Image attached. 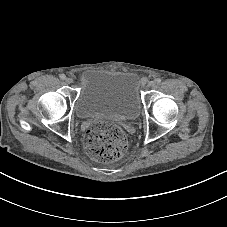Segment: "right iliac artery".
I'll use <instances>...</instances> for the list:
<instances>
[{
    "instance_id": "obj_1",
    "label": "right iliac artery",
    "mask_w": 227,
    "mask_h": 227,
    "mask_svg": "<svg viewBox=\"0 0 227 227\" xmlns=\"http://www.w3.org/2000/svg\"><path fill=\"white\" fill-rule=\"evenodd\" d=\"M59 77L61 80H64L66 78V76L64 74H60Z\"/></svg>"
}]
</instances>
